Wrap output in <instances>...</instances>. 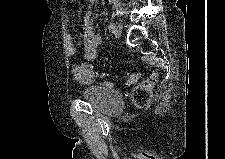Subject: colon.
<instances>
[{
    "mask_svg": "<svg viewBox=\"0 0 225 159\" xmlns=\"http://www.w3.org/2000/svg\"><path fill=\"white\" fill-rule=\"evenodd\" d=\"M139 74L137 71L129 73L125 79L126 85H132L137 82ZM157 80L156 73H151L150 76L140 82L132 92V102L137 108H146L151 101L152 92Z\"/></svg>",
    "mask_w": 225,
    "mask_h": 159,
    "instance_id": "colon-1",
    "label": "colon"
}]
</instances>
